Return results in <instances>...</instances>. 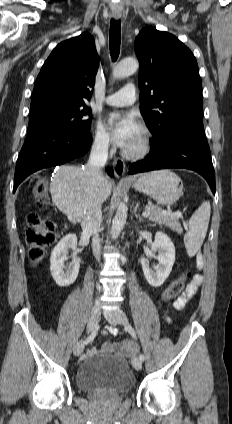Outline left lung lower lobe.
Segmentation results:
<instances>
[{
    "label": "left lung lower lobe",
    "mask_w": 232,
    "mask_h": 424,
    "mask_svg": "<svg viewBox=\"0 0 232 424\" xmlns=\"http://www.w3.org/2000/svg\"><path fill=\"white\" fill-rule=\"evenodd\" d=\"M165 168H186L198 172L215 194V173L202 117L174 121L160 138L150 142L147 158L130 165L129 174Z\"/></svg>",
    "instance_id": "left-lung-lower-lobe-1"
}]
</instances>
